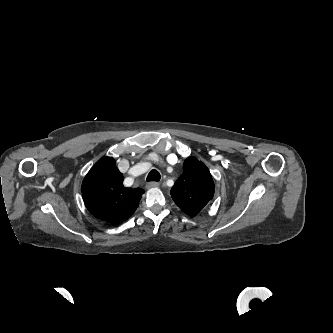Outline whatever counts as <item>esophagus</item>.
<instances>
[{"mask_svg": "<svg viewBox=\"0 0 333 333\" xmlns=\"http://www.w3.org/2000/svg\"><path fill=\"white\" fill-rule=\"evenodd\" d=\"M158 186H159V183H158V182H148V183L146 184V187H147L148 189L156 188V187H158Z\"/></svg>", "mask_w": 333, "mask_h": 333, "instance_id": "1", "label": "esophagus"}]
</instances>
